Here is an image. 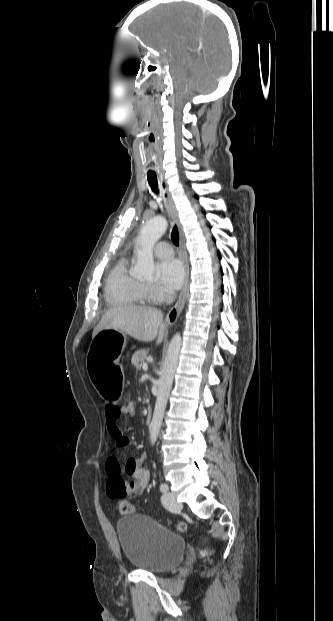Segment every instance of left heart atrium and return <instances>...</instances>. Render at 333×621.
I'll use <instances>...</instances> for the list:
<instances>
[{
  "label": "left heart atrium",
  "instance_id": "left-heart-atrium-1",
  "mask_svg": "<svg viewBox=\"0 0 333 621\" xmlns=\"http://www.w3.org/2000/svg\"><path fill=\"white\" fill-rule=\"evenodd\" d=\"M158 281L167 291L179 289L185 279V270L177 259L164 260L157 265Z\"/></svg>",
  "mask_w": 333,
  "mask_h": 621
}]
</instances>
